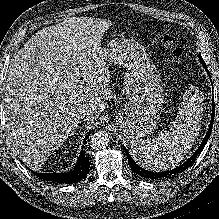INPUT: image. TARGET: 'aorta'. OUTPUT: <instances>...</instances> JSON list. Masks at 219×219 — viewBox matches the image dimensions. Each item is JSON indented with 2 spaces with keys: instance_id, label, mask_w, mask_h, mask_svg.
<instances>
[{
  "instance_id": "1",
  "label": "aorta",
  "mask_w": 219,
  "mask_h": 219,
  "mask_svg": "<svg viewBox=\"0 0 219 219\" xmlns=\"http://www.w3.org/2000/svg\"><path fill=\"white\" fill-rule=\"evenodd\" d=\"M111 140V135L105 130H99L95 132L90 138V146L94 150L105 149Z\"/></svg>"
}]
</instances>
